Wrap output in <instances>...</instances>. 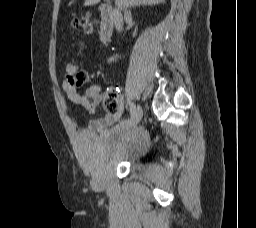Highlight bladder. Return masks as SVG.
<instances>
[{"instance_id": "31cf9c89", "label": "bladder", "mask_w": 256, "mask_h": 228, "mask_svg": "<svg viewBox=\"0 0 256 228\" xmlns=\"http://www.w3.org/2000/svg\"><path fill=\"white\" fill-rule=\"evenodd\" d=\"M147 143L146 134L114 127L100 136L80 134L78 153L95 178L122 162L134 160Z\"/></svg>"}]
</instances>
